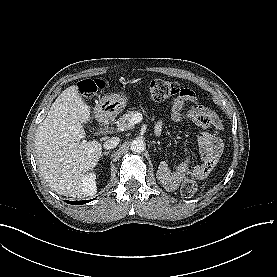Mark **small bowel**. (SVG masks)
Listing matches in <instances>:
<instances>
[{
  "instance_id": "1",
  "label": "small bowel",
  "mask_w": 277,
  "mask_h": 277,
  "mask_svg": "<svg viewBox=\"0 0 277 277\" xmlns=\"http://www.w3.org/2000/svg\"><path fill=\"white\" fill-rule=\"evenodd\" d=\"M194 103L193 106L187 108V102ZM171 117L174 121H181L185 118L189 119L197 126L208 128L211 131H222L223 123L217 113L206 106L197 103L195 94L189 90L176 97L170 105ZM162 125H157L155 131H161ZM200 153L205 159L202 164L193 165L190 160L186 159L179 165L182 173H191L198 178L206 177L209 174L207 161L215 156H219L222 152V143L220 139L211 132H205L199 144Z\"/></svg>"
}]
</instances>
